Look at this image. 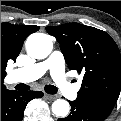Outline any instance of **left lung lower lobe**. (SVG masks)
<instances>
[{
    "label": "left lung lower lobe",
    "instance_id": "obj_1",
    "mask_svg": "<svg viewBox=\"0 0 121 121\" xmlns=\"http://www.w3.org/2000/svg\"><path fill=\"white\" fill-rule=\"evenodd\" d=\"M71 113L58 121H104L108 115L86 106L82 101L76 99L69 101Z\"/></svg>",
    "mask_w": 121,
    "mask_h": 121
}]
</instances>
